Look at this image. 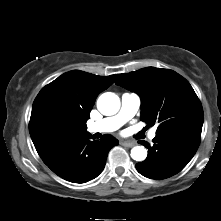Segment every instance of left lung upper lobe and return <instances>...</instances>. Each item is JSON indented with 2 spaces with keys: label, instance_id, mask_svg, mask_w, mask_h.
I'll use <instances>...</instances> for the list:
<instances>
[{
  "label": "left lung upper lobe",
  "instance_id": "obj_1",
  "mask_svg": "<svg viewBox=\"0 0 221 221\" xmlns=\"http://www.w3.org/2000/svg\"><path fill=\"white\" fill-rule=\"evenodd\" d=\"M116 84L141 98V120L158 124L156 135L175 130H202L201 102L189 82L173 70L147 67L123 73Z\"/></svg>",
  "mask_w": 221,
  "mask_h": 221
}]
</instances>
